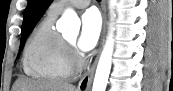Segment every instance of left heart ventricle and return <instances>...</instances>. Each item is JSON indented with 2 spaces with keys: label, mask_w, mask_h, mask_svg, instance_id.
Wrapping results in <instances>:
<instances>
[{
  "label": "left heart ventricle",
  "mask_w": 173,
  "mask_h": 91,
  "mask_svg": "<svg viewBox=\"0 0 173 91\" xmlns=\"http://www.w3.org/2000/svg\"><path fill=\"white\" fill-rule=\"evenodd\" d=\"M75 39H70L69 42L73 43Z\"/></svg>",
  "instance_id": "b2bd125f"
}]
</instances>
